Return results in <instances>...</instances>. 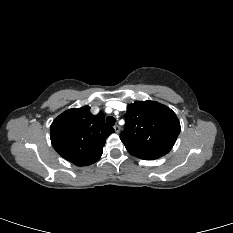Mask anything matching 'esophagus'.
<instances>
[{
  "mask_svg": "<svg viewBox=\"0 0 233 233\" xmlns=\"http://www.w3.org/2000/svg\"><path fill=\"white\" fill-rule=\"evenodd\" d=\"M114 130L116 133H119L120 132V126L119 125H115L114 126Z\"/></svg>",
  "mask_w": 233,
  "mask_h": 233,
  "instance_id": "esophagus-1",
  "label": "esophagus"
}]
</instances>
